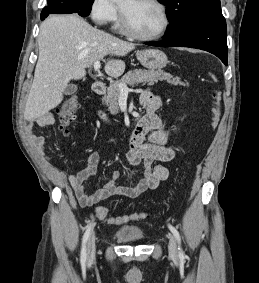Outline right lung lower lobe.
<instances>
[{"mask_svg": "<svg viewBox=\"0 0 259 283\" xmlns=\"http://www.w3.org/2000/svg\"><path fill=\"white\" fill-rule=\"evenodd\" d=\"M48 5L41 12V20H44L50 13L69 14L78 13L85 16L83 12L84 2L82 0H47Z\"/></svg>", "mask_w": 259, "mask_h": 283, "instance_id": "1", "label": "right lung lower lobe"}]
</instances>
